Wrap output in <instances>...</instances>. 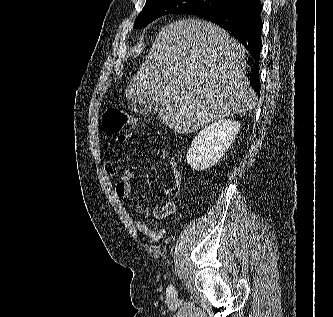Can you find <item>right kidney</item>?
Listing matches in <instances>:
<instances>
[{
	"label": "right kidney",
	"instance_id": "right-kidney-1",
	"mask_svg": "<svg viewBox=\"0 0 333 317\" xmlns=\"http://www.w3.org/2000/svg\"><path fill=\"white\" fill-rule=\"evenodd\" d=\"M240 130L236 120L220 119L202 129L187 151V162L194 170L214 166L234 142Z\"/></svg>",
	"mask_w": 333,
	"mask_h": 317
}]
</instances>
